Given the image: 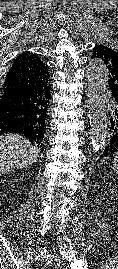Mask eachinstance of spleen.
Here are the masks:
<instances>
[{
    "mask_svg": "<svg viewBox=\"0 0 118 269\" xmlns=\"http://www.w3.org/2000/svg\"><path fill=\"white\" fill-rule=\"evenodd\" d=\"M113 169L118 174V154H116L113 160Z\"/></svg>",
    "mask_w": 118,
    "mask_h": 269,
    "instance_id": "1",
    "label": "spleen"
}]
</instances>
